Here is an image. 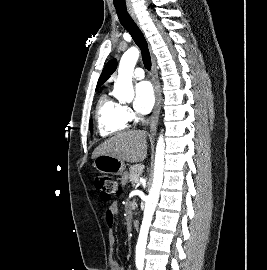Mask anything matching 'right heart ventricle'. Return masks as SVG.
<instances>
[{
	"label": "right heart ventricle",
	"instance_id": "e07e8e85",
	"mask_svg": "<svg viewBox=\"0 0 267 270\" xmlns=\"http://www.w3.org/2000/svg\"><path fill=\"white\" fill-rule=\"evenodd\" d=\"M96 123L98 133L108 137L128 128V119L123 114V106L103 93L96 106Z\"/></svg>",
	"mask_w": 267,
	"mask_h": 270
}]
</instances>
